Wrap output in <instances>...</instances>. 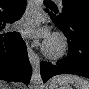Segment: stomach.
Wrapping results in <instances>:
<instances>
[{"label":"stomach","mask_w":89,"mask_h":89,"mask_svg":"<svg viewBox=\"0 0 89 89\" xmlns=\"http://www.w3.org/2000/svg\"><path fill=\"white\" fill-rule=\"evenodd\" d=\"M46 89H71V87L62 81H57L56 78H53L46 86Z\"/></svg>","instance_id":"stomach-1"}]
</instances>
